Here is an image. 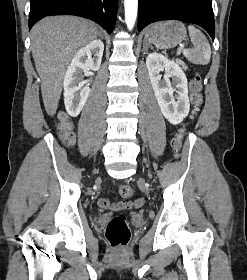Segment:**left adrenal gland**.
Masks as SVG:
<instances>
[{
    "instance_id": "left-adrenal-gland-1",
    "label": "left adrenal gland",
    "mask_w": 247,
    "mask_h": 280,
    "mask_svg": "<svg viewBox=\"0 0 247 280\" xmlns=\"http://www.w3.org/2000/svg\"><path fill=\"white\" fill-rule=\"evenodd\" d=\"M148 47H150V44H148L147 41L144 40V43H143V51L145 52V51L148 49Z\"/></svg>"
}]
</instances>
